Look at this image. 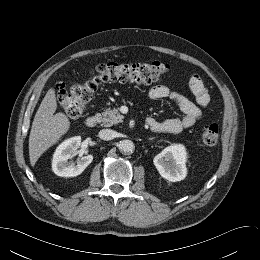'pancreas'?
Instances as JSON below:
<instances>
[{
  "instance_id": "1",
  "label": "pancreas",
  "mask_w": 260,
  "mask_h": 260,
  "mask_svg": "<svg viewBox=\"0 0 260 260\" xmlns=\"http://www.w3.org/2000/svg\"><path fill=\"white\" fill-rule=\"evenodd\" d=\"M99 122L105 127H111L115 124L123 122V116L120 114L119 110L114 108L112 110L108 109L103 111L98 115Z\"/></svg>"
}]
</instances>
